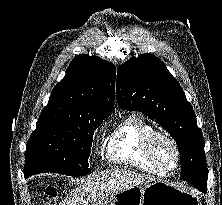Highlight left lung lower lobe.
<instances>
[{"label":"left lung lower lobe","instance_id":"1","mask_svg":"<svg viewBox=\"0 0 222 205\" xmlns=\"http://www.w3.org/2000/svg\"><path fill=\"white\" fill-rule=\"evenodd\" d=\"M199 166L200 164L198 163V159L196 157H191L186 154L181 155V167L184 175H186L184 177L186 181L191 182L193 186L199 190L206 192L207 185H201V182L191 176V173H194L199 168Z\"/></svg>","mask_w":222,"mask_h":205}]
</instances>
